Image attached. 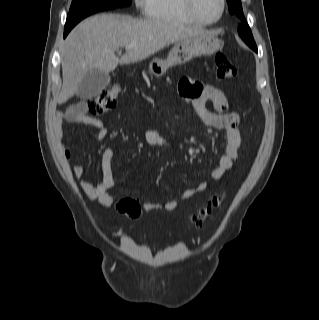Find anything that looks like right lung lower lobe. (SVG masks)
Wrapping results in <instances>:
<instances>
[{
    "mask_svg": "<svg viewBox=\"0 0 319 320\" xmlns=\"http://www.w3.org/2000/svg\"><path fill=\"white\" fill-rule=\"evenodd\" d=\"M72 29V28H71ZM71 29H65L64 31V38L67 36V34L70 32Z\"/></svg>",
    "mask_w": 319,
    "mask_h": 320,
    "instance_id": "right-lung-lower-lobe-1",
    "label": "right lung lower lobe"
}]
</instances>
